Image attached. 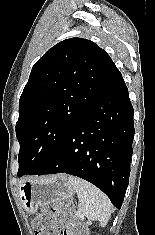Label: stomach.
<instances>
[{"mask_svg":"<svg viewBox=\"0 0 155 235\" xmlns=\"http://www.w3.org/2000/svg\"><path fill=\"white\" fill-rule=\"evenodd\" d=\"M74 187L65 175L22 182L19 186L20 201L27 213L33 214L39 206L73 197Z\"/></svg>","mask_w":155,"mask_h":235,"instance_id":"stomach-1","label":"stomach"}]
</instances>
